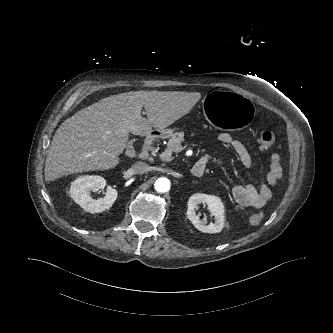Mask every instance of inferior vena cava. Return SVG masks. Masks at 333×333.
Instances as JSON below:
<instances>
[{"label":"inferior vena cava","instance_id":"1","mask_svg":"<svg viewBox=\"0 0 333 333\" xmlns=\"http://www.w3.org/2000/svg\"><path fill=\"white\" fill-rule=\"evenodd\" d=\"M133 173L142 174L149 170V166L144 162H136L131 167Z\"/></svg>","mask_w":333,"mask_h":333}]
</instances>
